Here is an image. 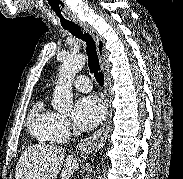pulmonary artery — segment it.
I'll list each match as a JSON object with an SVG mask.
<instances>
[{
  "label": "pulmonary artery",
  "instance_id": "1",
  "mask_svg": "<svg viewBox=\"0 0 183 179\" xmlns=\"http://www.w3.org/2000/svg\"><path fill=\"white\" fill-rule=\"evenodd\" d=\"M73 86L82 92H89L92 88L89 78L85 75L77 76L73 80Z\"/></svg>",
  "mask_w": 183,
  "mask_h": 179
}]
</instances>
